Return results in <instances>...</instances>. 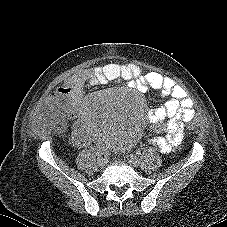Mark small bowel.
Segmentation results:
<instances>
[{"instance_id":"1","label":"small bowel","mask_w":227,"mask_h":227,"mask_svg":"<svg viewBox=\"0 0 227 227\" xmlns=\"http://www.w3.org/2000/svg\"><path fill=\"white\" fill-rule=\"evenodd\" d=\"M108 81H126L141 93L149 87L161 92L166 100L163 105L148 113V120L157 131L164 132V135L151 137L149 143L162 153L174 152L183 139L179 135V128L194 116V103L182 86L160 73H143L134 64H108L85 69L71 75L55 95L47 100L46 106L51 110L55 105L62 104L66 108L76 110L86 98L87 86H96ZM82 134L79 129L74 131V139L78 145L85 142Z\"/></svg>"}]
</instances>
